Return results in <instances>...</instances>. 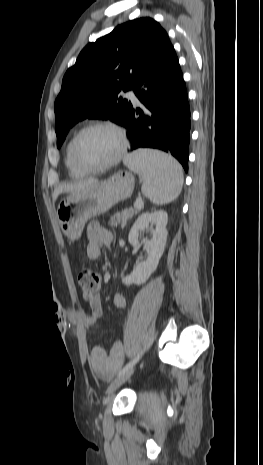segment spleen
Returning a JSON list of instances; mask_svg holds the SVG:
<instances>
[{
	"label": "spleen",
	"instance_id": "obj_1",
	"mask_svg": "<svg viewBox=\"0 0 263 465\" xmlns=\"http://www.w3.org/2000/svg\"><path fill=\"white\" fill-rule=\"evenodd\" d=\"M124 164L142 179V193L157 205L175 200L183 186L179 162L164 152L139 149L124 159Z\"/></svg>",
	"mask_w": 263,
	"mask_h": 465
}]
</instances>
